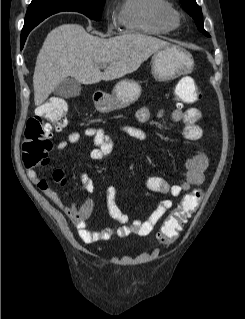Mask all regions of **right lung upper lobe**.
<instances>
[{"instance_id": "right-lung-upper-lobe-1", "label": "right lung upper lobe", "mask_w": 245, "mask_h": 319, "mask_svg": "<svg viewBox=\"0 0 245 319\" xmlns=\"http://www.w3.org/2000/svg\"><path fill=\"white\" fill-rule=\"evenodd\" d=\"M66 0H32L29 5V12L26 13L25 23L22 31L32 30L36 25L43 21L48 16L65 11L66 8L62 5ZM43 2H48L44 5Z\"/></svg>"}]
</instances>
